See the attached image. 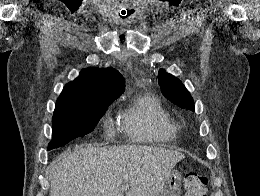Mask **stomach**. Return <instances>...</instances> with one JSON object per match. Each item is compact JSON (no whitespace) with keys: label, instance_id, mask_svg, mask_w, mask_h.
<instances>
[{"label":"stomach","instance_id":"1","mask_svg":"<svg viewBox=\"0 0 260 196\" xmlns=\"http://www.w3.org/2000/svg\"><path fill=\"white\" fill-rule=\"evenodd\" d=\"M163 188L164 190H161L160 196H180V190H181L180 172L174 170L169 180L165 182V186H163Z\"/></svg>","mask_w":260,"mask_h":196}]
</instances>
